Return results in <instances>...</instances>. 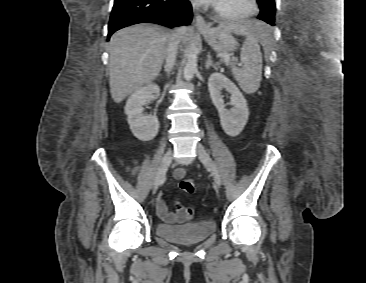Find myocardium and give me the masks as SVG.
Segmentation results:
<instances>
[{
	"label": "myocardium",
	"instance_id": "f54148a6",
	"mask_svg": "<svg viewBox=\"0 0 366 283\" xmlns=\"http://www.w3.org/2000/svg\"><path fill=\"white\" fill-rule=\"evenodd\" d=\"M249 8L244 12L232 13L220 9L216 4L213 5L214 13L222 20L225 21H239L254 16L259 9L257 0H248Z\"/></svg>",
	"mask_w": 366,
	"mask_h": 283
}]
</instances>
